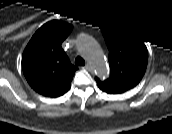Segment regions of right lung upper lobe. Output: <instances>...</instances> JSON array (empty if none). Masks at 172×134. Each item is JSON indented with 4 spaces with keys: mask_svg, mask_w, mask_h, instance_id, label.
<instances>
[{
    "mask_svg": "<svg viewBox=\"0 0 172 134\" xmlns=\"http://www.w3.org/2000/svg\"><path fill=\"white\" fill-rule=\"evenodd\" d=\"M71 27L60 22H49L39 28L22 55V69L29 85L39 94L58 97L71 86L75 71L61 44Z\"/></svg>",
    "mask_w": 172,
    "mask_h": 134,
    "instance_id": "obj_1",
    "label": "right lung upper lobe"
}]
</instances>
